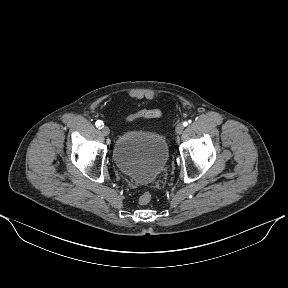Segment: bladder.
<instances>
[{
	"mask_svg": "<svg viewBox=\"0 0 288 288\" xmlns=\"http://www.w3.org/2000/svg\"><path fill=\"white\" fill-rule=\"evenodd\" d=\"M168 155L165 137L149 130L121 132L112 149L118 169L139 184L153 182L164 169Z\"/></svg>",
	"mask_w": 288,
	"mask_h": 288,
	"instance_id": "1",
	"label": "bladder"
}]
</instances>
